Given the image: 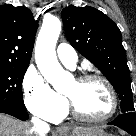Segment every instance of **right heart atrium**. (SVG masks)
<instances>
[{
    "label": "right heart atrium",
    "mask_w": 136,
    "mask_h": 136,
    "mask_svg": "<svg viewBox=\"0 0 136 136\" xmlns=\"http://www.w3.org/2000/svg\"><path fill=\"white\" fill-rule=\"evenodd\" d=\"M23 99L34 115L48 120H58L64 113L66 102L34 69H28L22 82Z\"/></svg>",
    "instance_id": "1"
}]
</instances>
